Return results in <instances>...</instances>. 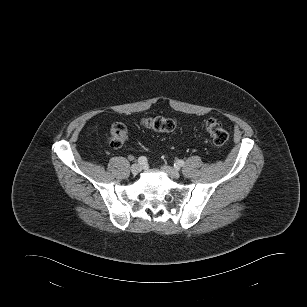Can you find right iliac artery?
Here are the masks:
<instances>
[{
	"mask_svg": "<svg viewBox=\"0 0 307 307\" xmlns=\"http://www.w3.org/2000/svg\"><path fill=\"white\" fill-rule=\"evenodd\" d=\"M138 163H139L140 165H145V164L147 163L146 157H144V156L139 157Z\"/></svg>",
	"mask_w": 307,
	"mask_h": 307,
	"instance_id": "obj_1",
	"label": "right iliac artery"
}]
</instances>
